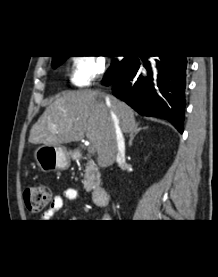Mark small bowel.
<instances>
[{"label":"small bowel","instance_id":"small-bowel-1","mask_svg":"<svg viewBox=\"0 0 218 277\" xmlns=\"http://www.w3.org/2000/svg\"><path fill=\"white\" fill-rule=\"evenodd\" d=\"M80 199V193L75 188L64 189L61 195H56L53 197L51 204L47 211H45L43 218L48 219L52 217L55 213L60 211L64 206L65 200L75 201Z\"/></svg>","mask_w":218,"mask_h":277}]
</instances>
